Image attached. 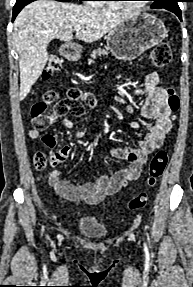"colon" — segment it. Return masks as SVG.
I'll return each instance as SVG.
<instances>
[{"instance_id": "1", "label": "colon", "mask_w": 193, "mask_h": 287, "mask_svg": "<svg viewBox=\"0 0 193 287\" xmlns=\"http://www.w3.org/2000/svg\"><path fill=\"white\" fill-rule=\"evenodd\" d=\"M172 52L167 44H159L154 47L150 54V61L156 67H164L170 63ZM61 70V60L57 56H51L48 63L46 74L54 75ZM168 105L173 113H176L180 106V101L173 89H168ZM56 93L47 92L43 100L33 105L31 114L32 122L36 129L44 130L48 128L56 115L71 114L75 117L84 115L86 107L93 106L95 99L89 93H83L77 89L68 91L66 98L58 101L53 113H47V105L54 103ZM168 152L166 150L158 151L150 161L148 183L154 186L157 180L163 175L168 164ZM48 159L42 152H37L34 155V165L37 170H43L47 167ZM149 200L146 192H142L130 200L128 208L132 211L144 208Z\"/></svg>"}]
</instances>
